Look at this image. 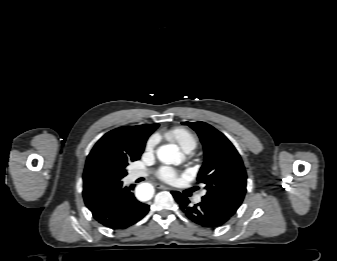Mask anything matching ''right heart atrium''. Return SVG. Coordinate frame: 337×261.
Returning a JSON list of instances; mask_svg holds the SVG:
<instances>
[{"mask_svg": "<svg viewBox=\"0 0 337 261\" xmlns=\"http://www.w3.org/2000/svg\"><path fill=\"white\" fill-rule=\"evenodd\" d=\"M155 144H156V138L155 137H151L147 144H146V150L147 151H152L155 147Z\"/></svg>", "mask_w": 337, "mask_h": 261, "instance_id": "1", "label": "right heart atrium"}]
</instances>
